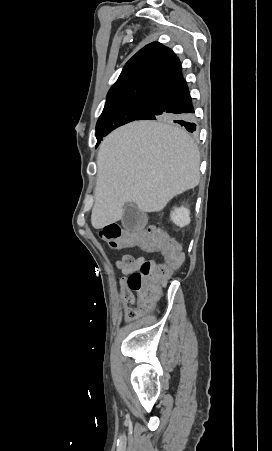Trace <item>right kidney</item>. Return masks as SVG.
Masks as SVG:
<instances>
[{"label": "right kidney", "mask_w": 272, "mask_h": 451, "mask_svg": "<svg viewBox=\"0 0 272 451\" xmlns=\"http://www.w3.org/2000/svg\"><path fill=\"white\" fill-rule=\"evenodd\" d=\"M170 218L176 226H188L191 222L190 210L184 208V206H181V208H174L173 212L170 214Z\"/></svg>", "instance_id": "ca27d5eb"}]
</instances>
